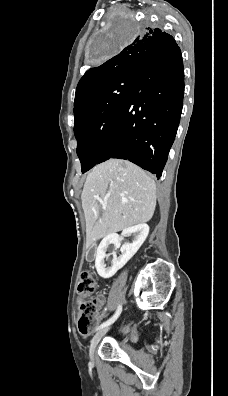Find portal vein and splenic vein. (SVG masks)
Listing matches in <instances>:
<instances>
[{"label":"portal vein and splenic vein","instance_id":"obj_1","mask_svg":"<svg viewBox=\"0 0 228 396\" xmlns=\"http://www.w3.org/2000/svg\"><path fill=\"white\" fill-rule=\"evenodd\" d=\"M102 209L106 210V205L105 204H102Z\"/></svg>","mask_w":228,"mask_h":396}]
</instances>
